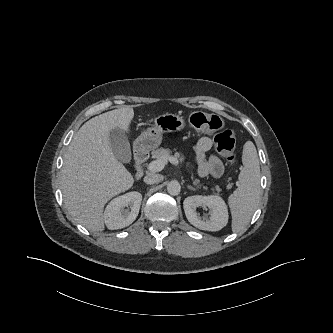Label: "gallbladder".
<instances>
[{
    "instance_id": "1",
    "label": "gallbladder",
    "mask_w": 333,
    "mask_h": 333,
    "mask_svg": "<svg viewBox=\"0 0 333 333\" xmlns=\"http://www.w3.org/2000/svg\"><path fill=\"white\" fill-rule=\"evenodd\" d=\"M109 142L115 157L124 163H129L132 158L130 143L126 133L115 128L109 133Z\"/></svg>"
}]
</instances>
